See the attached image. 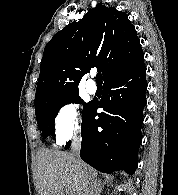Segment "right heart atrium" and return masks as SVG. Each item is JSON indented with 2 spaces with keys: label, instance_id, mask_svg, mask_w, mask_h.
I'll list each match as a JSON object with an SVG mask.
<instances>
[{
  "label": "right heart atrium",
  "instance_id": "1",
  "mask_svg": "<svg viewBox=\"0 0 178 195\" xmlns=\"http://www.w3.org/2000/svg\"><path fill=\"white\" fill-rule=\"evenodd\" d=\"M56 139L63 144L76 137L81 130V114L79 104L67 102L63 104L55 117Z\"/></svg>",
  "mask_w": 178,
  "mask_h": 195
}]
</instances>
